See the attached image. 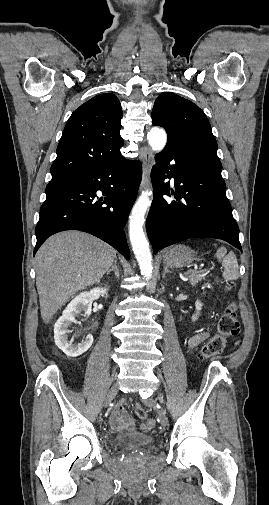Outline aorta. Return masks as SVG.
Listing matches in <instances>:
<instances>
[{"instance_id": "aorta-1", "label": "aorta", "mask_w": 269, "mask_h": 505, "mask_svg": "<svg viewBox=\"0 0 269 505\" xmlns=\"http://www.w3.org/2000/svg\"><path fill=\"white\" fill-rule=\"evenodd\" d=\"M148 143L153 151L160 152L167 143V134L164 129L153 127L147 135ZM151 191H144L135 202L129 220V236L132 250L138 261L141 275L150 279L153 273L152 255L146 239L143 224L145 215L151 205Z\"/></svg>"}]
</instances>
